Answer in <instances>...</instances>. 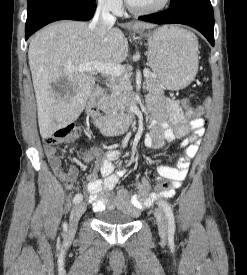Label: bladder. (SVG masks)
<instances>
[{
  "label": "bladder",
  "instance_id": "1",
  "mask_svg": "<svg viewBox=\"0 0 247 275\" xmlns=\"http://www.w3.org/2000/svg\"><path fill=\"white\" fill-rule=\"evenodd\" d=\"M97 220L106 225H128L135 221V215L116 208H105L96 211Z\"/></svg>",
  "mask_w": 247,
  "mask_h": 275
}]
</instances>
